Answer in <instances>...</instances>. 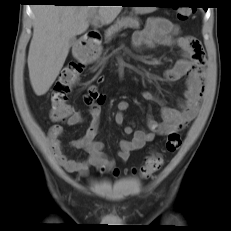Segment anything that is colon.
Listing matches in <instances>:
<instances>
[{"instance_id":"5ec220e1","label":"colon","mask_w":231,"mask_h":231,"mask_svg":"<svg viewBox=\"0 0 231 231\" xmlns=\"http://www.w3.org/2000/svg\"><path fill=\"white\" fill-rule=\"evenodd\" d=\"M192 13V9L183 8L178 11V20H186ZM84 66L81 62L72 61L68 63L60 72L59 77L54 85L51 94V110L50 118L53 121H66L73 114L74 110L69 104V96L77 85ZM181 136L178 132H172L168 135L164 144L163 151L167 153H174L181 146ZM163 164V156L161 153H153L147 159L144 165L138 169V173L144 177H151L157 172ZM115 174L119 171L114 170Z\"/></svg>"}]
</instances>
